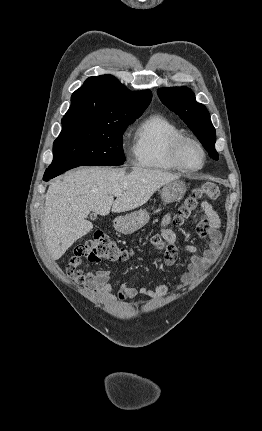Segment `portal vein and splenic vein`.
<instances>
[{
	"label": "portal vein and splenic vein",
	"instance_id": "18ae733b",
	"mask_svg": "<svg viewBox=\"0 0 262 431\" xmlns=\"http://www.w3.org/2000/svg\"><path fill=\"white\" fill-rule=\"evenodd\" d=\"M121 194H122V192L120 190H115L113 192V195L116 196V197L120 196Z\"/></svg>",
	"mask_w": 262,
	"mask_h": 431
}]
</instances>
